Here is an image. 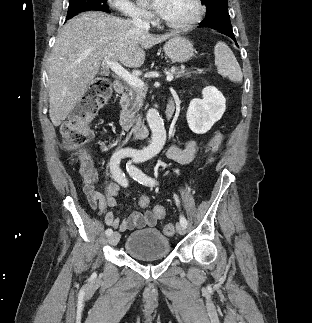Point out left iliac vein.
Listing matches in <instances>:
<instances>
[{
	"instance_id": "1",
	"label": "left iliac vein",
	"mask_w": 312,
	"mask_h": 323,
	"mask_svg": "<svg viewBox=\"0 0 312 323\" xmlns=\"http://www.w3.org/2000/svg\"><path fill=\"white\" fill-rule=\"evenodd\" d=\"M176 228H177V232H178L180 235L185 234V232H186L185 226H183L181 223H177V224H176Z\"/></svg>"
}]
</instances>
